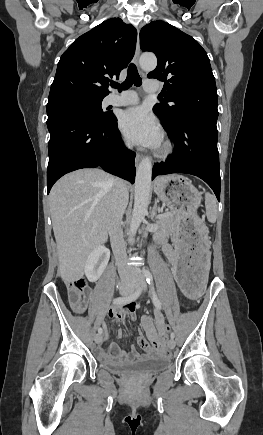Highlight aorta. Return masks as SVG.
<instances>
[{
  "label": "aorta",
  "instance_id": "aorta-1",
  "mask_svg": "<svg viewBox=\"0 0 263 435\" xmlns=\"http://www.w3.org/2000/svg\"><path fill=\"white\" fill-rule=\"evenodd\" d=\"M157 59L153 54H144L140 58V66L145 71L155 69ZM152 163L149 157L140 162L135 179L134 207L130 221V237L137 232L147 213L151 198Z\"/></svg>",
  "mask_w": 263,
  "mask_h": 435
}]
</instances>
